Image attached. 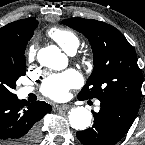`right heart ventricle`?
Segmentation results:
<instances>
[{"label": "right heart ventricle", "mask_w": 145, "mask_h": 145, "mask_svg": "<svg viewBox=\"0 0 145 145\" xmlns=\"http://www.w3.org/2000/svg\"><path fill=\"white\" fill-rule=\"evenodd\" d=\"M51 36L66 52L79 46V37L71 30L65 28H52L48 31Z\"/></svg>", "instance_id": "right-heart-ventricle-1"}]
</instances>
